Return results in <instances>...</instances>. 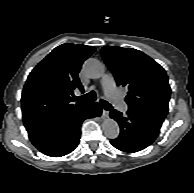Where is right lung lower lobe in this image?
<instances>
[{"instance_id": "1", "label": "right lung lower lobe", "mask_w": 194, "mask_h": 193, "mask_svg": "<svg viewBox=\"0 0 194 193\" xmlns=\"http://www.w3.org/2000/svg\"><path fill=\"white\" fill-rule=\"evenodd\" d=\"M100 105L84 104L59 116L25 125L33 145L43 154L60 157L72 152L80 141V127L87 118L99 117Z\"/></svg>"}]
</instances>
